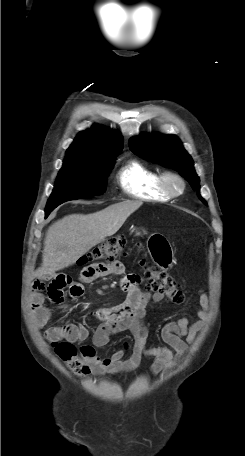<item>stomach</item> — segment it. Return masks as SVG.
<instances>
[{"label": "stomach", "instance_id": "0dacf381", "mask_svg": "<svg viewBox=\"0 0 245 456\" xmlns=\"http://www.w3.org/2000/svg\"><path fill=\"white\" fill-rule=\"evenodd\" d=\"M145 230L136 228L135 234L142 235ZM148 252L152 260L162 269L171 267L174 261L173 250L168 240L161 234L153 235L148 242Z\"/></svg>", "mask_w": 245, "mask_h": 456}]
</instances>
